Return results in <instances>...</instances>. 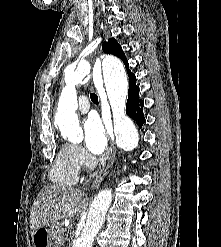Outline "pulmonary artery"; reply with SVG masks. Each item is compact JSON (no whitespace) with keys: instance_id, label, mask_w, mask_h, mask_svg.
Returning a JSON list of instances; mask_svg holds the SVG:
<instances>
[{"instance_id":"obj_1","label":"pulmonary artery","mask_w":221,"mask_h":247,"mask_svg":"<svg viewBox=\"0 0 221 247\" xmlns=\"http://www.w3.org/2000/svg\"><path fill=\"white\" fill-rule=\"evenodd\" d=\"M90 109V104L86 96H81L78 99V110L81 113H87Z\"/></svg>"}]
</instances>
